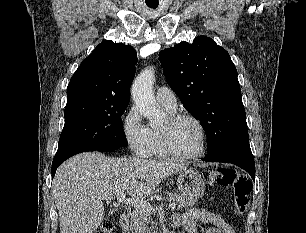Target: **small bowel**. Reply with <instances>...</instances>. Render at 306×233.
Returning a JSON list of instances; mask_svg holds the SVG:
<instances>
[{"mask_svg":"<svg viewBox=\"0 0 306 233\" xmlns=\"http://www.w3.org/2000/svg\"><path fill=\"white\" fill-rule=\"evenodd\" d=\"M199 222L207 223L211 227L207 233H235L233 227L221 216L205 209L193 208L172 219L174 227H183L187 233H196Z\"/></svg>","mask_w":306,"mask_h":233,"instance_id":"1","label":"small bowel"}]
</instances>
